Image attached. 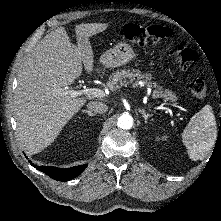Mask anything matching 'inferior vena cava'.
<instances>
[{
  "label": "inferior vena cava",
  "mask_w": 221,
  "mask_h": 221,
  "mask_svg": "<svg viewBox=\"0 0 221 221\" xmlns=\"http://www.w3.org/2000/svg\"><path fill=\"white\" fill-rule=\"evenodd\" d=\"M87 108L90 111L100 114L105 113L108 110V106L106 104L96 101L89 102Z\"/></svg>",
  "instance_id": "inferior-vena-cava-1"
}]
</instances>
